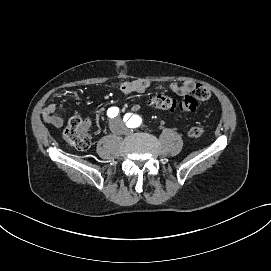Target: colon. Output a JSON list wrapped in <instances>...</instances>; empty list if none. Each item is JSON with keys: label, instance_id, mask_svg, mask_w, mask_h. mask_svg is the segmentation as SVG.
I'll return each mask as SVG.
<instances>
[{"label": "colon", "instance_id": "obj_1", "mask_svg": "<svg viewBox=\"0 0 271 271\" xmlns=\"http://www.w3.org/2000/svg\"><path fill=\"white\" fill-rule=\"evenodd\" d=\"M211 97L208 88L198 84L195 89L184 95L181 99H176L166 94H157L150 98L151 106L161 110H181L184 112H194L198 109L199 102L207 101ZM201 127H193L188 135L192 138H198L203 134ZM64 139L66 143L77 150H86L90 147L91 139L88 134V124L80 118H73L69 121L64 130Z\"/></svg>", "mask_w": 271, "mask_h": 271}]
</instances>
